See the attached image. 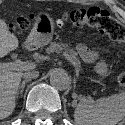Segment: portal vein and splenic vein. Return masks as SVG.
<instances>
[{
    "label": "portal vein and splenic vein",
    "instance_id": "portal-vein-and-splenic-vein-1",
    "mask_svg": "<svg viewBox=\"0 0 125 125\" xmlns=\"http://www.w3.org/2000/svg\"><path fill=\"white\" fill-rule=\"evenodd\" d=\"M63 56L73 65L75 66V62L72 61L69 54L66 52H63ZM34 65L32 63H26L21 60H16L15 62H9V63H0V71H7V70H16V71H27L30 69H33Z\"/></svg>",
    "mask_w": 125,
    "mask_h": 125
}]
</instances>
